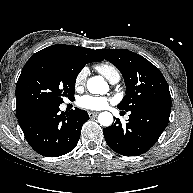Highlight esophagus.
<instances>
[{"mask_svg": "<svg viewBox=\"0 0 193 193\" xmlns=\"http://www.w3.org/2000/svg\"><path fill=\"white\" fill-rule=\"evenodd\" d=\"M89 117L90 118H95V117H97V115L99 114L98 112H92V111H90L89 113Z\"/></svg>", "mask_w": 193, "mask_h": 193, "instance_id": "1", "label": "esophagus"}]
</instances>
